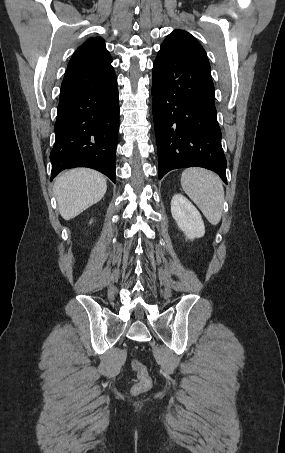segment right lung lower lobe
Segmentation results:
<instances>
[{"mask_svg":"<svg viewBox=\"0 0 285 453\" xmlns=\"http://www.w3.org/2000/svg\"><path fill=\"white\" fill-rule=\"evenodd\" d=\"M119 128L117 78L104 69L67 68L61 85L51 180L62 170L89 167L115 183Z\"/></svg>","mask_w":285,"mask_h":453,"instance_id":"obj_1","label":"right lung lower lobe"}]
</instances>
